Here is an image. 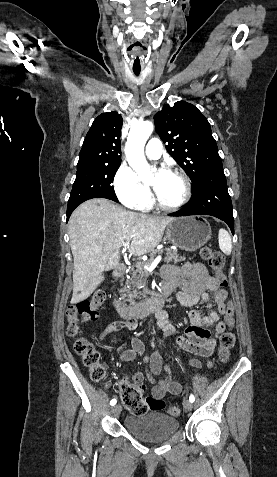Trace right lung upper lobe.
Here are the masks:
<instances>
[{"label":"right lung upper lobe","mask_w":277,"mask_h":477,"mask_svg":"<svg viewBox=\"0 0 277 477\" xmlns=\"http://www.w3.org/2000/svg\"><path fill=\"white\" fill-rule=\"evenodd\" d=\"M123 119L116 111L102 113L89 129L79 155L77 169L120 164Z\"/></svg>","instance_id":"cb5924a9"}]
</instances>
